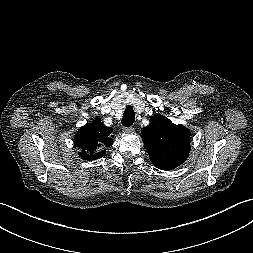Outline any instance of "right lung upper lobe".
Returning a JSON list of instances; mask_svg holds the SVG:
<instances>
[{
	"mask_svg": "<svg viewBox=\"0 0 253 253\" xmlns=\"http://www.w3.org/2000/svg\"><path fill=\"white\" fill-rule=\"evenodd\" d=\"M112 128L105 126L100 118L79 129L74 137V145L81 148L79 156L86 160H96L105 154V147L112 145Z\"/></svg>",
	"mask_w": 253,
	"mask_h": 253,
	"instance_id": "right-lung-upper-lobe-1",
	"label": "right lung upper lobe"
}]
</instances>
